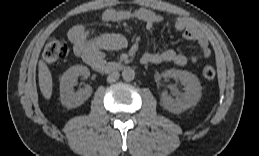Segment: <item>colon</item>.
Segmentation results:
<instances>
[{
  "label": "colon",
  "instance_id": "1",
  "mask_svg": "<svg viewBox=\"0 0 259 156\" xmlns=\"http://www.w3.org/2000/svg\"><path fill=\"white\" fill-rule=\"evenodd\" d=\"M69 53V46L66 41L50 38L43 50V60L47 64H53L63 60ZM202 74L206 79H213L216 75L214 67L208 65L203 68Z\"/></svg>",
  "mask_w": 259,
  "mask_h": 156
}]
</instances>
